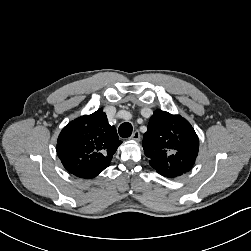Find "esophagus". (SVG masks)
<instances>
[{"label": "esophagus", "instance_id": "obj_1", "mask_svg": "<svg viewBox=\"0 0 251 251\" xmlns=\"http://www.w3.org/2000/svg\"><path fill=\"white\" fill-rule=\"evenodd\" d=\"M141 135L139 131H135L129 138V140L140 141Z\"/></svg>", "mask_w": 251, "mask_h": 251}]
</instances>
